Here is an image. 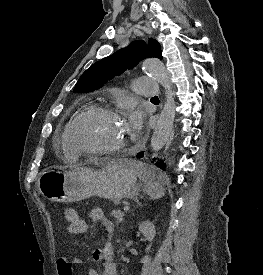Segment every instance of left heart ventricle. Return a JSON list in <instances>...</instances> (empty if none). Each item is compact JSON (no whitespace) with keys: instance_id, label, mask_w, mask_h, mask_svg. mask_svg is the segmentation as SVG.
I'll return each mask as SVG.
<instances>
[{"instance_id":"obj_1","label":"left heart ventricle","mask_w":263,"mask_h":275,"mask_svg":"<svg viewBox=\"0 0 263 275\" xmlns=\"http://www.w3.org/2000/svg\"><path fill=\"white\" fill-rule=\"evenodd\" d=\"M131 136V129L121 119L98 114L86 119L80 125L76 140L84 148L106 149L129 140Z\"/></svg>"}]
</instances>
